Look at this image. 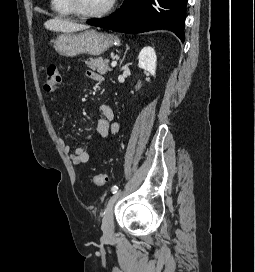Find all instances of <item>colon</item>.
<instances>
[{"label": "colon", "mask_w": 255, "mask_h": 272, "mask_svg": "<svg viewBox=\"0 0 255 272\" xmlns=\"http://www.w3.org/2000/svg\"><path fill=\"white\" fill-rule=\"evenodd\" d=\"M61 84V75L57 65H49L46 68L44 89L48 92H55ZM107 176L105 174H97L93 178V183L96 186H103L107 183Z\"/></svg>", "instance_id": "1"}]
</instances>
